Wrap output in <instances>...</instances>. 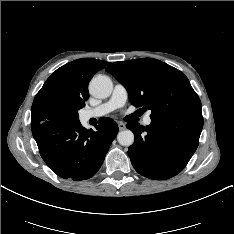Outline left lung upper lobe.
<instances>
[{
	"label": "left lung upper lobe",
	"mask_w": 234,
	"mask_h": 234,
	"mask_svg": "<svg viewBox=\"0 0 234 234\" xmlns=\"http://www.w3.org/2000/svg\"><path fill=\"white\" fill-rule=\"evenodd\" d=\"M128 91L132 105L151 110V120L202 114L201 102L178 69L152 58L114 62L106 69Z\"/></svg>",
	"instance_id": "5c2ea615"
}]
</instances>
